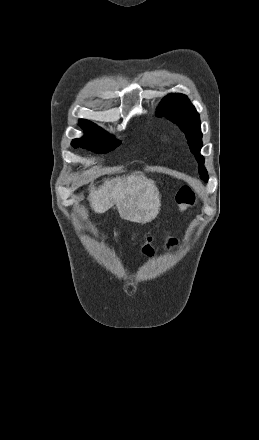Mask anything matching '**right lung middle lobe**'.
Returning a JSON list of instances; mask_svg holds the SVG:
<instances>
[{"mask_svg":"<svg viewBox=\"0 0 259 440\" xmlns=\"http://www.w3.org/2000/svg\"><path fill=\"white\" fill-rule=\"evenodd\" d=\"M80 125L85 131V135L80 139H74L71 145L74 148H86L94 152L107 153L120 145L119 140H115L113 136L105 133L100 127L94 123L81 119Z\"/></svg>","mask_w":259,"mask_h":440,"instance_id":"obj_1","label":"right lung middle lobe"}]
</instances>
